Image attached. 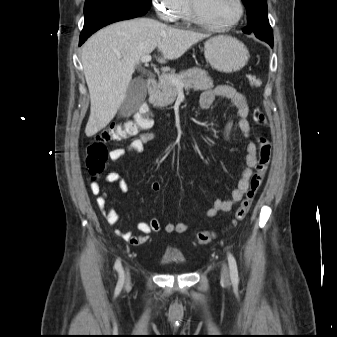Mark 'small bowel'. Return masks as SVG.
<instances>
[{"mask_svg":"<svg viewBox=\"0 0 337 337\" xmlns=\"http://www.w3.org/2000/svg\"><path fill=\"white\" fill-rule=\"evenodd\" d=\"M217 97H223L231 101L237 117V128L245 138H250L251 128L247 120L249 114V104L246 96L236 90L231 85H219L215 88L206 89L202 92L199 99V107L201 109H208ZM233 122L229 121L222 130V135L225 138H229L232 132ZM156 138L154 132H146L130 141L125 147H116L109 151V159L112 162H116L123 158L128 153H139L143 150L144 145ZM257 163V148L253 142H250L246 148L245 156V168L242 170L236 187L232 190L231 198L229 200L215 199L211 207L206 211V217H214L220 212L230 211L237 203H239L244 194L246 193L249 180L252 176V169ZM105 182L116 184L117 188L121 192H125L128 189V182L124 177L116 171H109L104 177ZM90 190L94 195H97L96 205L102 212L106 221L110 225H115L119 222V215L113 208H107V193L102 192L101 185L98 181H92L90 184ZM151 190L153 192H159L161 190V183L153 181L151 183ZM193 222H170L161 225L157 218H151L147 221H142L137 224L139 234H133L130 231L123 229H116L115 234L127 241L131 245L138 246L148 242L149 235L157 233L161 230L172 233H184L186 232Z\"/></svg>","mask_w":337,"mask_h":337,"instance_id":"small-bowel-1","label":"small bowel"}]
</instances>
